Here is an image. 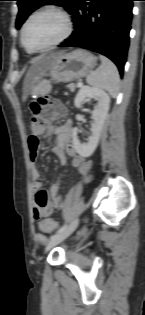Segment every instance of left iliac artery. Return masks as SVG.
I'll return each mask as SVG.
<instances>
[{"label":"left iliac artery","mask_w":145,"mask_h":315,"mask_svg":"<svg viewBox=\"0 0 145 315\" xmlns=\"http://www.w3.org/2000/svg\"><path fill=\"white\" fill-rule=\"evenodd\" d=\"M66 227H67V224L65 223L63 226H61V227L58 229V231L56 232V234L62 232Z\"/></svg>","instance_id":"44dca946"}]
</instances>
